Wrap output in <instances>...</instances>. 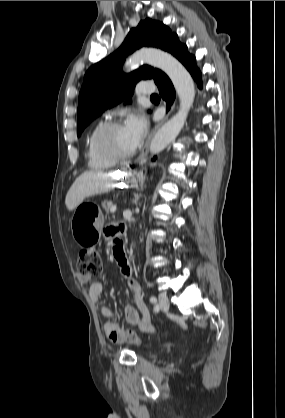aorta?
I'll use <instances>...</instances> for the list:
<instances>
[{
  "label": "aorta",
  "instance_id": "1",
  "mask_svg": "<svg viewBox=\"0 0 285 418\" xmlns=\"http://www.w3.org/2000/svg\"><path fill=\"white\" fill-rule=\"evenodd\" d=\"M141 62L164 71L172 81L180 100L179 111L159 129L151 141L150 153L158 154L175 140L183 128L195 98V86L189 72L167 52L153 48L142 49L135 52L126 65L128 68H134Z\"/></svg>",
  "mask_w": 285,
  "mask_h": 418
}]
</instances>
